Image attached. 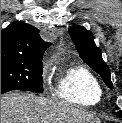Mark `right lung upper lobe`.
Listing matches in <instances>:
<instances>
[{"mask_svg": "<svg viewBox=\"0 0 122 123\" xmlns=\"http://www.w3.org/2000/svg\"><path fill=\"white\" fill-rule=\"evenodd\" d=\"M48 47L39 30L27 23L14 21L1 31V56L42 58Z\"/></svg>", "mask_w": 122, "mask_h": 123, "instance_id": "cb5924a9", "label": "right lung upper lobe"}]
</instances>
